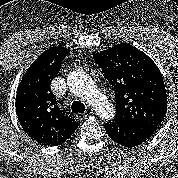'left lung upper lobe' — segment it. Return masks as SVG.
<instances>
[{"mask_svg":"<svg viewBox=\"0 0 178 178\" xmlns=\"http://www.w3.org/2000/svg\"><path fill=\"white\" fill-rule=\"evenodd\" d=\"M93 57L115 90V119L160 126L167 112V94L153 60L127 43L95 52Z\"/></svg>","mask_w":178,"mask_h":178,"instance_id":"1","label":"left lung upper lobe"}]
</instances>
